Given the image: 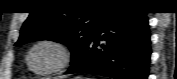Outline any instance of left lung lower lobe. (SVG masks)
I'll return each mask as SVG.
<instances>
[{"mask_svg": "<svg viewBox=\"0 0 177 79\" xmlns=\"http://www.w3.org/2000/svg\"><path fill=\"white\" fill-rule=\"evenodd\" d=\"M150 54L146 14L114 6L104 10L83 52L66 74L90 73L115 79H147Z\"/></svg>", "mask_w": 177, "mask_h": 79, "instance_id": "0a47b994", "label": "left lung lower lobe"}]
</instances>
